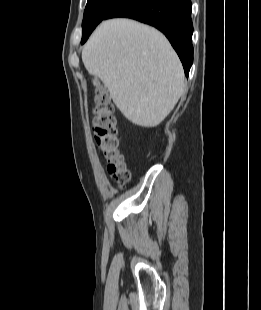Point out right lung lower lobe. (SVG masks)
<instances>
[{"label": "right lung lower lobe", "instance_id": "obj_1", "mask_svg": "<svg viewBox=\"0 0 261 310\" xmlns=\"http://www.w3.org/2000/svg\"><path fill=\"white\" fill-rule=\"evenodd\" d=\"M128 17L152 25L162 31L177 52L189 75L193 63L191 0H125L105 19ZM93 30L82 38L83 44Z\"/></svg>", "mask_w": 261, "mask_h": 310}]
</instances>
